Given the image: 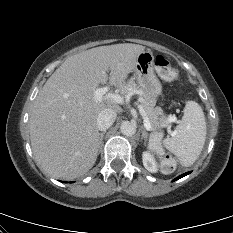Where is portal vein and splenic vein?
Instances as JSON below:
<instances>
[{
	"label": "portal vein and splenic vein",
	"instance_id": "portal-vein-and-splenic-vein-1",
	"mask_svg": "<svg viewBox=\"0 0 233 233\" xmlns=\"http://www.w3.org/2000/svg\"><path fill=\"white\" fill-rule=\"evenodd\" d=\"M105 96L113 100L115 103H123V98L120 95L109 93V87L97 88L94 91V99L96 102L102 101ZM138 108H139V112L141 113L143 117L144 127L146 128L147 131H153L151 123L149 122V119L147 118L142 106L138 105ZM173 121H174L173 117H171L170 119L169 118L167 119V123L173 122Z\"/></svg>",
	"mask_w": 233,
	"mask_h": 233
}]
</instances>
